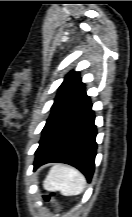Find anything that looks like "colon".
<instances>
[{
  "instance_id": "1",
  "label": "colon",
  "mask_w": 132,
  "mask_h": 217,
  "mask_svg": "<svg viewBox=\"0 0 132 217\" xmlns=\"http://www.w3.org/2000/svg\"><path fill=\"white\" fill-rule=\"evenodd\" d=\"M50 199H51L50 197H48V196L46 197V200H50Z\"/></svg>"
}]
</instances>
